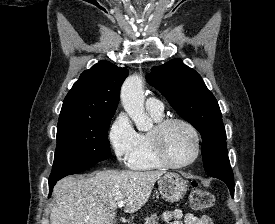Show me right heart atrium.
<instances>
[{"instance_id": "d8ad5b80", "label": "right heart atrium", "mask_w": 275, "mask_h": 224, "mask_svg": "<svg viewBox=\"0 0 275 224\" xmlns=\"http://www.w3.org/2000/svg\"><path fill=\"white\" fill-rule=\"evenodd\" d=\"M108 136L116 158L121 162L128 161L136 147L137 132L134 130L127 115L120 113L115 118Z\"/></svg>"}]
</instances>
